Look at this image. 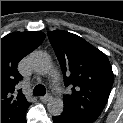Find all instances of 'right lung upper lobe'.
Segmentation results:
<instances>
[{"mask_svg": "<svg viewBox=\"0 0 123 123\" xmlns=\"http://www.w3.org/2000/svg\"><path fill=\"white\" fill-rule=\"evenodd\" d=\"M40 31L14 32L1 38V123H21L30 106L16 86L22 76L17 71L19 61L45 39Z\"/></svg>", "mask_w": 123, "mask_h": 123, "instance_id": "obj_1", "label": "right lung upper lobe"}]
</instances>
